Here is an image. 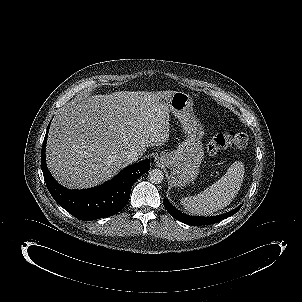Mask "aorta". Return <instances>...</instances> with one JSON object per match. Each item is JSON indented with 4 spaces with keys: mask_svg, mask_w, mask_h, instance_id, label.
Masks as SVG:
<instances>
[{
    "mask_svg": "<svg viewBox=\"0 0 302 302\" xmlns=\"http://www.w3.org/2000/svg\"><path fill=\"white\" fill-rule=\"evenodd\" d=\"M148 179L153 184H159L164 179V173L160 169H152L148 173Z\"/></svg>",
    "mask_w": 302,
    "mask_h": 302,
    "instance_id": "762f6f07",
    "label": "aorta"
}]
</instances>
